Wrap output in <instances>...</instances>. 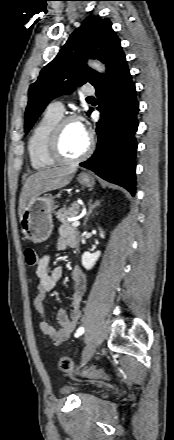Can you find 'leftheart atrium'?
Here are the masks:
<instances>
[{
  "label": "left heart atrium",
  "mask_w": 174,
  "mask_h": 440,
  "mask_svg": "<svg viewBox=\"0 0 174 440\" xmlns=\"http://www.w3.org/2000/svg\"><path fill=\"white\" fill-rule=\"evenodd\" d=\"M76 123H77L79 129H80L82 132H84V133L87 134V132H86V128H85L83 122H81V121H76Z\"/></svg>",
  "instance_id": "1"
}]
</instances>
